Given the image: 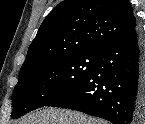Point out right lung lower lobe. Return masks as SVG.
<instances>
[{
    "mask_svg": "<svg viewBox=\"0 0 145 124\" xmlns=\"http://www.w3.org/2000/svg\"><path fill=\"white\" fill-rule=\"evenodd\" d=\"M138 27L108 44L78 84L46 106L78 110L114 124H133L145 109V54Z\"/></svg>",
    "mask_w": 145,
    "mask_h": 124,
    "instance_id": "right-lung-lower-lobe-1",
    "label": "right lung lower lobe"
}]
</instances>
